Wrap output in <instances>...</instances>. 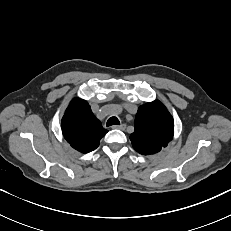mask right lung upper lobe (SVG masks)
Wrapping results in <instances>:
<instances>
[{"label":"right lung upper lobe","instance_id":"right-lung-upper-lobe-1","mask_svg":"<svg viewBox=\"0 0 231 231\" xmlns=\"http://www.w3.org/2000/svg\"><path fill=\"white\" fill-rule=\"evenodd\" d=\"M62 133L77 151L88 153L99 146L108 132L94 116L89 104L80 98L71 101L62 118Z\"/></svg>","mask_w":231,"mask_h":231}]
</instances>
